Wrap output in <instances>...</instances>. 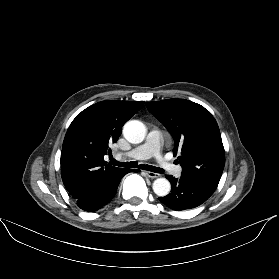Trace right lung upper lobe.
Here are the masks:
<instances>
[{
	"label": "right lung upper lobe",
	"instance_id": "right-lung-upper-lobe-1",
	"mask_svg": "<svg viewBox=\"0 0 279 279\" xmlns=\"http://www.w3.org/2000/svg\"><path fill=\"white\" fill-rule=\"evenodd\" d=\"M144 102L101 101L83 110L72 121L61 152V176L74 199L99 190L126 171L110 166L104 155L111 154L122 126L139 111Z\"/></svg>",
	"mask_w": 279,
	"mask_h": 279
}]
</instances>
